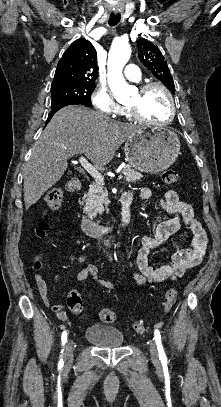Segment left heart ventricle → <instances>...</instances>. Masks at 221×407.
I'll list each match as a JSON object with an SVG mask.
<instances>
[{
	"mask_svg": "<svg viewBox=\"0 0 221 407\" xmlns=\"http://www.w3.org/2000/svg\"><path fill=\"white\" fill-rule=\"evenodd\" d=\"M139 105L142 115L151 121H164L169 116V102L165 93L153 88L149 90L143 97H140L138 91L133 95L127 106Z\"/></svg>",
	"mask_w": 221,
	"mask_h": 407,
	"instance_id": "left-heart-ventricle-1",
	"label": "left heart ventricle"
}]
</instances>
